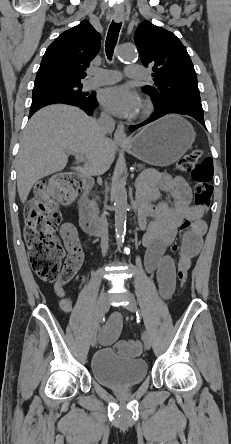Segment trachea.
Returning <instances> with one entry per match:
<instances>
[{
	"label": "trachea",
	"instance_id": "1",
	"mask_svg": "<svg viewBox=\"0 0 231 444\" xmlns=\"http://www.w3.org/2000/svg\"><path fill=\"white\" fill-rule=\"evenodd\" d=\"M122 23H116L114 21L111 22L107 34L106 44H105V50L108 59L112 58L113 51L115 48V45L117 43L118 35L121 29Z\"/></svg>",
	"mask_w": 231,
	"mask_h": 444
}]
</instances>
